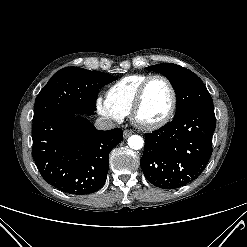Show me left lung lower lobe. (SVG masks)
Returning <instances> with one entry per match:
<instances>
[{
	"label": "left lung lower lobe",
	"mask_w": 247,
	"mask_h": 247,
	"mask_svg": "<svg viewBox=\"0 0 247 247\" xmlns=\"http://www.w3.org/2000/svg\"><path fill=\"white\" fill-rule=\"evenodd\" d=\"M214 110L188 111L145 134L140 160L146 179L162 189H176L195 180L212 153Z\"/></svg>",
	"instance_id": "0a47b994"
}]
</instances>
